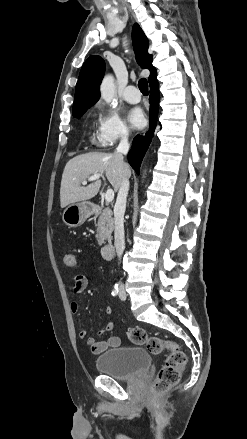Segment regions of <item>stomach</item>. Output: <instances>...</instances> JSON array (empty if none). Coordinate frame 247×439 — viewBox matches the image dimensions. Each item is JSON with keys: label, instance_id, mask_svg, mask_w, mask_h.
Listing matches in <instances>:
<instances>
[{"label": "stomach", "instance_id": "0dacf381", "mask_svg": "<svg viewBox=\"0 0 247 439\" xmlns=\"http://www.w3.org/2000/svg\"><path fill=\"white\" fill-rule=\"evenodd\" d=\"M90 214L89 205L85 202L69 205L63 212V222L69 227L81 226Z\"/></svg>", "mask_w": 247, "mask_h": 439}]
</instances>
